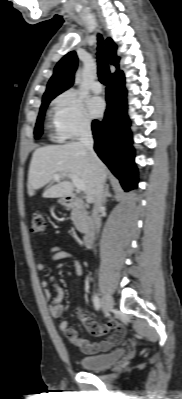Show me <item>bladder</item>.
<instances>
[{
    "instance_id": "31cf9c89",
    "label": "bladder",
    "mask_w": 182,
    "mask_h": 399,
    "mask_svg": "<svg viewBox=\"0 0 182 399\" xmlns=\"http://www.w3.org/2000/svg\"><path fill=\"white\" fill-rule=\"evenodd\" d=\"M124 355V350L115 349L106 354L84 356L79 358V365L86 371L104 370L119 361Z\"/></svg>"
}]
</instances>
